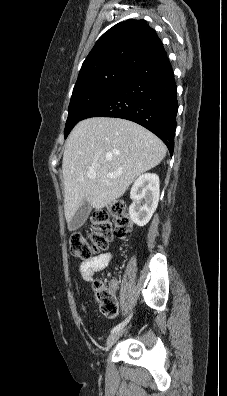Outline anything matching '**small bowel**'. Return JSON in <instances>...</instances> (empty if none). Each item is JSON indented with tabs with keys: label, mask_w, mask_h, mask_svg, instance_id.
<instances>
[{
	"label": "small bowel",
	"mask_w": 227,
	"mask_h": 396,
	"mask_svg": "<svg viewBox=\"0 0 227 396\" xmlns=\"http://www.w3.org/2000/svg\"><path fill=\"white\" fill-rule=\"evenodd\" d=\"M111 260H112L111 253H103V254L97 255L87 261L82 262L80 265V273H81L82 278L86 282L91 281L93 275L96 272H99V271L105 269L109 265ZM111 287H112V289L116 290L118 287L117 282H113Z\"/></svg>",
	"instance_id": "small-bowel-1"
}]
</instances>
